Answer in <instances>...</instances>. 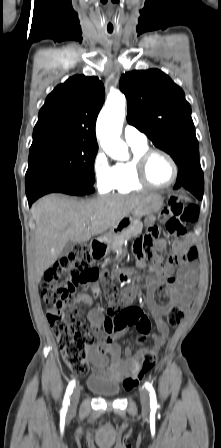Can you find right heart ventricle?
<instances>
[{
	"label": "right heart ventricle",
	"mask_w": 221,
	"mask_h": 448,
	"mask_svg": "<svg viewBox=\"0 0 221 448\" xmlns=\"http://www.w3.org/2000/svg\"><path fill=\"white\" fill-rule=\"evenodd\" d=\"M133 158L128 162L118 163L116 167L115 182L112 190L117 193H130L144 187L136 178L135 161L136 158L148 149L144 146H131Z\"/></svg>",
	"instance_id": "obj_1"
}]
</instances>
